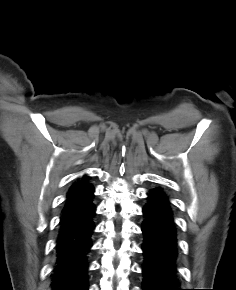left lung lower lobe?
Returning a JSON list of instances; mask_svg holds the SVG:
<instances>
[{
	"instance_id": "left-lung-lower-lobe-1",
	"label": "left lung lower lobe",
	"mask_w": 236,
	"mask_h": 290,
	"mask_svg": "<svg viewBox=\"0 0 236 290\" xmlns=\"http://www.w3.org/2000/svg\"><path fill=\"white\" fill-rule=\"evenodd\" d=\"M143 215V290H182L176 276V228L170 203L162 189L149 191Z\"/></svg>"
}]
</instances>
